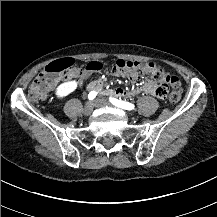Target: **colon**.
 Wrapping results in <instances>:
<instances>
[{
	"label": "colon",
	"instance_id": "colon-1",
	"mask_svg": "<svg viewBox=\"0 0 217 217\" xmlns=\"http://www.w3.org/2000/svg\"><path fill=\"white\" fill-rule=\"evenodd\" d=\"M79 69V62L75 58H64L53 64L48 65L41 72V76L37 77L32 83L29 91V98L37 100L48 94L50 88L58 85L63 76L68 73H75ZM113 69L118 72H123L126 75L129 73L147 74L157 81L170 84V87L180 86L179 79L167 73L162 67L153 63H139L131 60H117L113 64ZM181 90H170V99L172 103H177L182 96Z\"/></svg>",
	"mask_w": 217,
	"mask_h": 217
}]
</instances>
